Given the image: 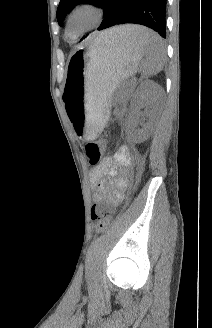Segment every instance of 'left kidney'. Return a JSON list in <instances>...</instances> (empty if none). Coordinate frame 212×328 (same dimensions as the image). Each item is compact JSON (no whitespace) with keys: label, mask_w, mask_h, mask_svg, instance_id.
<instances>
[{"label":"left kidney","mask_w":212,"mask_h":328,"mask_svg":"<svg viewBox=\"0 0 212 328\" xmlns=\"http://www.w3.org/2000/svg\"><path fill=\"white\" fill-rule=\"evenodd\" d=\"M159 95V86L152 81H145L137 88L132 97L130 115L128 117V126L133 132V137L136 142L145 141L152 134L154 127L153 120H150L144 124L141 129H136L139 120L140 108L156 103Z\"/></svg>","instance_id":"1"}]
</instances>
